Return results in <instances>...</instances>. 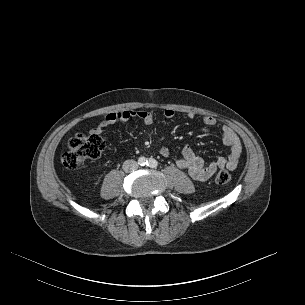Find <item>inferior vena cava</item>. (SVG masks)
Masks as SVG:
<instances>
[{
    "mask_svg": "<svg viewBox=\"0 0 305 305\" xmlns=\"http://www.w3.org/2000/svg\"><path fill=\"white\" fill-rule=\"evenodd\" d=\"M122 168L125 172L131 173L138 169V163L135 160H126Z\"/></svg>",
    "mask_w": 305,
    "mask_h": 305,
    "instance_id": "obj_1",
    "label": "inferior vena cava"
}]
</instances>
